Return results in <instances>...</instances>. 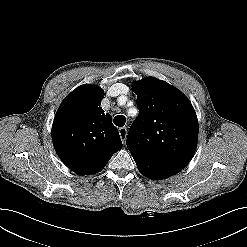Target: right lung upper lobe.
I'll list each match as a JSON object with an SVG mask.
<instances>
[{
	"mask_svg": "<svg viewBox=\"0 0 247 247\" xmlns=\"http://www.w3.org/2000/svg\"><path fill=\"white\" fill-rule=\"evenodd\" d=\"M104 91L81 85L61 103L52 125L55 151L63 163L78 175L101 171L122 148L110 114L100 107Z\"/></svg>",
	"mask_w": 247,
	"mask_h": 247,
	"instance_id": "right-lung-upper-lobe-1",
	"label": "right lung upper lobe"
}]
</instances>
